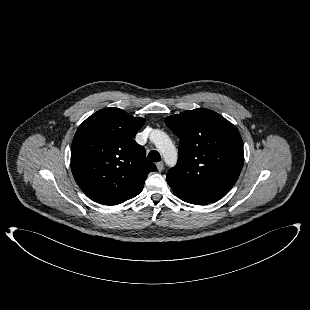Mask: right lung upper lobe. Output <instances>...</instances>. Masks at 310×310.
Segmentation results:
<instances>
[{
    "instance_id": "obj_1",
    "label": "right lung upper lobe",
    "mask_w": 310,
    "mask_h": 310,
    "mask_svg": "<svg viewBox=\"0 0 310 310\" xmlns=\"http://www.w3.org/2000/svg\"><path fill=\"white\" fill-rule=\"evenodd\" d=\"M145 119L119 108H105L77 129L71 147V170L81 190L93 201L121 204L143 189L156 170L134 135Z\"/></svg>"
}]
</instances>
